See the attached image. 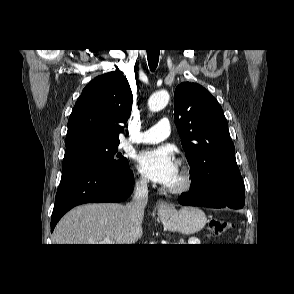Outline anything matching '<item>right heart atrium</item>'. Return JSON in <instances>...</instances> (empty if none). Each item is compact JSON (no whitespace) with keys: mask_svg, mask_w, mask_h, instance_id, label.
<instances>
[{"mask_svg":"<svg viewBox=\"0 0 294 294\" xmlns=\"http://www.w3.org/2000/svg\"><path fill=\"white\" fill-rule=\"evenodd\" d=\"M136 186L140 189H145L147 187V180L144 177H139L136 180Z\"/></svg>","mask_w":294,"mask_h":294,"instance_id":"d8ad5b80","label":"right heart atrium"}]
</instances>
